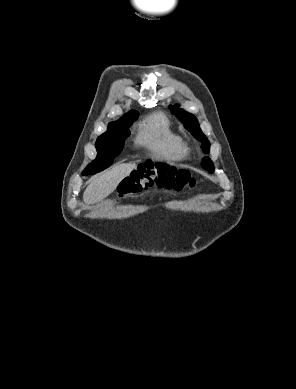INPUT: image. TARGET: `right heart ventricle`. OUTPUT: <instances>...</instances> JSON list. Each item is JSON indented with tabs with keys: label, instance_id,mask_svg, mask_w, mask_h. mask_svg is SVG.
I'll list each match as a JSON object with an SVG mask.
<instances>
[{
	"label": "right heart ventricle",
	"instance_id": "1",
	"mask_svg": "<svg viewBox=\"0 0 296 389\" xmlns=\"http://www.w3.org/2000/svg\"><path fill=\"white\" fill-rule=\"evenodd\" d=\"M136 142L158 158L180 161L186 155L182 138L160 113L150 115L141 123Z\"/></svg>",
	"mask_w": 296,
	"mask_h": 389
}]
</instances>
